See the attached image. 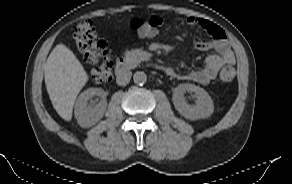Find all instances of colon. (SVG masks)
Returning a JSON list of instances; mask_svg holds the SVG:
<instances>
[{"label":"colon","instance_id":"5ec220e1","mask_svg":"<svg viewBox=\"0 0 292 184\" xmlns=\"http://www.w3.org/2000/svg\"><path fill=\"white\" fill-rule=\"evenodd\" d=\"M131 27L137 30L143 38L153 39L160 33L161 22L151 16L146 19H135ZM77 49L85 60L94 65L89 73V78L95 83H105L112 80L113 60L109 55V47L105 41L98 38L91 21L85 20L77 24L73 32ZM236 75L232 65H226L220 71V80L224 83L231 82Z\"/></svg>","mask_w":292,"mask_h":184}]
</instances>
